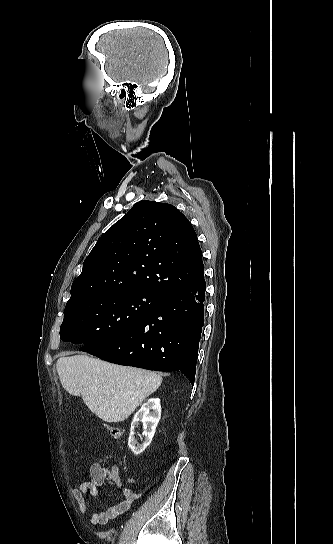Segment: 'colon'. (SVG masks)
I'll return each instance as SVG.
<instances>
[{"label": "colon", "mask_w": 333, "mask_h": 544, "mask_svg": "<svg viewBox=\"0 0 333 544\" xmlns=\"http://www.w3.org/2000/svg\"><path fill=\"white\" fill-rule=\"evenodd\" d=\"M106 428L108 430V432L110 433V435L114 438H119L121 437L122 435V430L121 428L117 427V426H114V425H106ZM103 477H112V470L111 471H105L103 473Z\"/></svg>", "instance_id": "obj_1"}]
</instances>
